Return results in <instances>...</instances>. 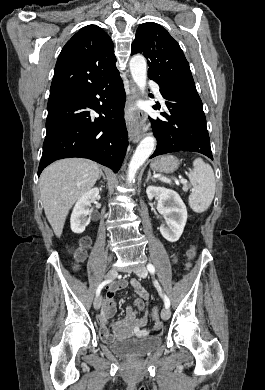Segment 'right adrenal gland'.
<instances>
[{"label":"right adrenal gland","mask_w":265,"mask_h":390,"mask_svg":"<svg viewBox=\"0 0 265 390\" xmlns=\"http://www.w3.org/2000/svg\"><path fill=\"white\" fill-rule=\"evenodd\" d=\"M101 177L103 178V180H105V176H104V173H103L102 169H100V176H99L98 179H100Z\"/></svg>","instance_id":"1"}]
</instances>
